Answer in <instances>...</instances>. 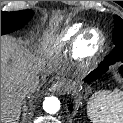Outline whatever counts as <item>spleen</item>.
Here are the masks:
<instances>
[{
    "label": "spleen",
    "mask_w": 123,
    "mask_h": 123,
    "mask_svg": "<svg viewBox=\"0 0 123 123\" xmlns=\"http://www.w3.org/2000/svg\"><path fill=\"white\" fill-rule=\"evenodd\" d=\"M87 112L92 123H123V92L99 91L88 102Z\"/></svg>",
    "instance_id": "3e777b00"
}]
</instances>
